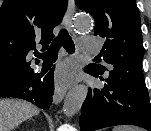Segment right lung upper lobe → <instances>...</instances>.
I'll list each match as a JSON object with an SVG mask.
<instances>
[{
  "label": "right lung upper lobe",
  "instance_id": "obj_1",
  "mask_svg": "<svg viewBox=\"0 0 151 131\" xmlns=\"http://www.w3.org/2000/svg\"><path fill=\"white\" fill-rule=\"evenodd\" d=\"M68 0H4L0 8V86L4 89L34 74L27 54L47 48Z\"/></svg>",
  "mask_w": 151,
  "mask_h": 131
}]
</instances>
